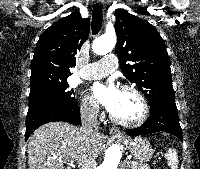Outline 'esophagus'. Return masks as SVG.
<instances>
[{
  "instance_id": "esophagus-1",
  "label": "esophagus",
  "mask_w": 200,
  "mask_h": 169,
  "mask_svg": "<svg viewBox=\"0 0 200 169\" xmlns=\"http://www.w3.org/2000/svg\"><path fill=\"white\" fill-rule=\"evenodd\" d=\"M102 5L104 4V0H98ZM111 136H121V132L117 127H111L109 130Z\"/></svg>"
}]
</instances>
